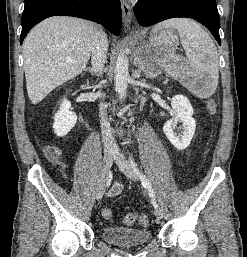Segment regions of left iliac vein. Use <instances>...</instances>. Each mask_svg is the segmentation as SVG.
Wrapping results in <instances>:
<instances>
[{
    "label": "left iliac vein",
    "instance_id": "obj_1",
    "mask_svg": "<svg viewBox=\"0 0 247 257\" xmlns=\"http://www.w3.org/2000/svg\"><path fill=\"white\" fill-rule=\"evenodd\" d=\"M115 161H116L118 167L120 168V170L129 179H131L133 181H138L139 180L138 174L134 171L132 166L125 160V158L123 157V155L119 151H116V153H115ZM154 214L158 219L163 218V211L159 207H156L154 209Z\"/></svg>",
    "mask_w": 247,
    "mask_h": 257
}]
</instances>
